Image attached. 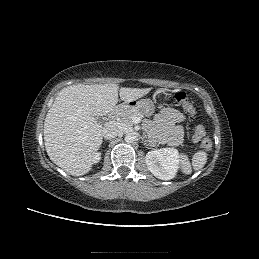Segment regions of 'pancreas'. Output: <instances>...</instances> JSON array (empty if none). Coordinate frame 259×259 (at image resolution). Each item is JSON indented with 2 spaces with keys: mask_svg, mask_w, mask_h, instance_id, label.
Wrapping results in <instances>:
<instances>
[{
  "mask_svg": "<svg viewBox=\"0 0 259 259\" xmlns=\"http://www.w3.org/2000/svg\"><path fill=\"white\" fill-rule=\"evenodd\" d=\"M143 113L137 109L121 108L118 110L116 118L118 123L123 127H132L133 118L138 116L143 118Z\"/></svg>",
  "mask_w": 259,
  "mask_h": 259,
  "instance_id": "cf45deb5",
  "label": "pancreas"
}]
</instances>
